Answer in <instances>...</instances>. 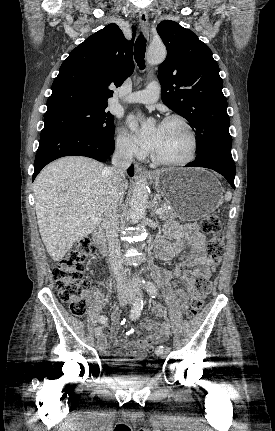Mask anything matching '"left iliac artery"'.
Here are the masks:
<instances>
[{
    "mask_svg": "<svg viewBox=\"0 0 275 431\" xmlns=\"http://www.w3.org/2000/svg\"><path fill=\"white\" fill-rule=\"evenodd\" d=\"M145 286H146V289H147V292L149 293V295L152 298H155L157 296V289H156L155 285L151 282H145ZM163 350H164V346L160 345L156 348L155 352L157 355H161Z\"/></svg>",
    "mask_w": 275,
    "mask_h": 431,
    "instance_id": "obj_1",
    "label": "left iliac artery"
}]
</instances>
